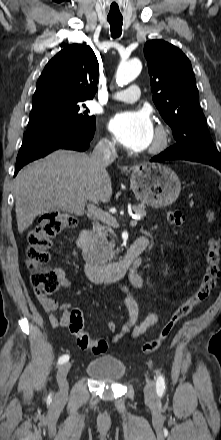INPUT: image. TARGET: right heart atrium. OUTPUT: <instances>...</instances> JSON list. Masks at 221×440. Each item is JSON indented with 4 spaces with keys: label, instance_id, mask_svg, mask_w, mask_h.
<instances>
[{
    "label": "right heart atrium",
    "instance_id": "right-heart-atrium-1",
    "mask_svg": "<svg viewBox=\"0 0 221 440\" xmlns=\"http://www.w3.org/2000/svg\"><path fill=\"white\" fill-rule=\"evenodd\" d=\"M101 145L109 151H114L116 149V141L112 138L105 137L101 140Z\"/></svg>",
    "mask_w": 221,
    "mask_h": 440
}]
</instances>
